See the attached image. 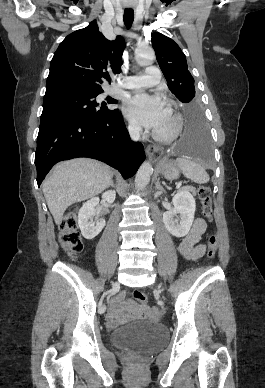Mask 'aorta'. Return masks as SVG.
<instances>
[{
  "label": "aorta",
  "mask_w": 265,
  "mask_h": 388,
  "mask_svg": "<svg viewBox=\"0 0 265 388\" xmlns=\"http://www.w3.org/2000/svg\"><path fill=\"white\" fill-rule=\"evenodd\" d=\"M154 58V52L151 49L142 50L137 54L138 62L141 65H148ZM153 172L152 165L148 161H144L140 166L135 182L138 189L142 190L150 181V176Z\"/></svg>",
  "instance_id": "1"
}]
</instances>
